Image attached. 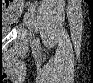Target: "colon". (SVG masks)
Instances as JSON below:
<instances>
[{"mask_svg": "<svg viewBox=\"0 0 93 83\" xmlns=\"http://www.w3.org/2000/svg\"><path fill=\"white\" fill-rule=\"evenodd\" d=\"M12 3L11 4H16L17 3V0H14V1H11ZM1 11H2V13H6V12H11V13H14L15 12V10L14 9H11V10H7V9H5L3 6L1 7Z\"/></svg>", "mask_w": 93, "mask_h": 83, "instance_id": "1", "label": "colon"}]
</instances>
